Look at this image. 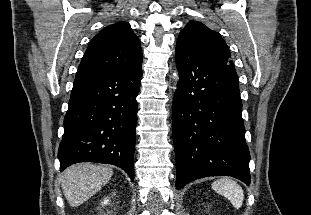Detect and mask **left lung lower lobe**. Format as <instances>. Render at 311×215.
<instances>
[{"instance_id": "1", "label": "left lung lower lobe", "mask_w": 311, "mask_h": 215, "mask_svg": "<svg viewBox=\"0 0 311 215\" xmlns=\"http://www.w3.org/2000/svg\"><path fill=\"white\" fill-rule=\"evenodd\" d=\"M180 75L172 104L176 187L229 175L250 184L239 80L226 62L179 39Z\"/></svg>"}]
</instances>
